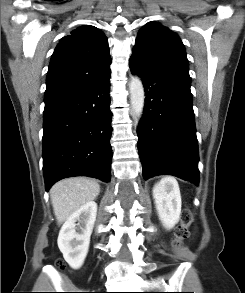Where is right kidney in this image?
<instances>
[{"label": "right kidney", "mask_w": 245, "mask_h": 293, "mask_svg": "<svg viewBox=\"0 0 245 293\" xmlns=\"http://www.w3.org/2000/svg\"><path fill=\"white\" fill-rule=\"evenodd\" d=\"M96 216L97 204L87 202L68 217L59 232L58 247L73 269H79L84 263Z\"/></svg>", "instance_id": "right-kidney-1"}]
</instances>
